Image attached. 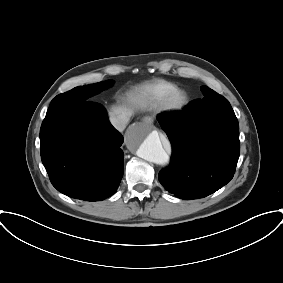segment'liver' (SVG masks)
<instances>
[{"label":"liver","instance_id":"obj_1","mask_svg":"<svg viewBox=\"0 0 283 283\" xmlns=\"http://www.w3.org/2000/svg\"><path fill=\"white\" fill-rule=\"evenodd\" d=\"M132 114V110L127 108V107H123V106H118V107H114L112 109V111L110 112V116L114 117V116H118V115H122V114Z\"/></svg>","mask_w":283,"mask_h":283}]
</instances>
